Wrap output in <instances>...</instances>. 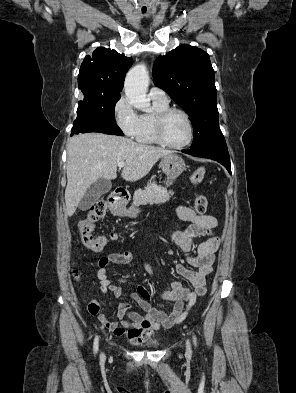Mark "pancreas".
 I'll use <instances>...</instances> for the list:
<instances>
[{"mask_svg": "<svg viewBox=\"0 0 296 393\" xmlns=\"http://www.w3.org/2000/svg\"><path fill=\"white\" fill-rule=\"evenodd\" d=\"M173 191H167L166 188L155 184H148L144 189H138L133 196V206L145 204H160L167 202Z\"/></svg>", "mask_w": 296, "mask_h": 393, "instance_id": "obj_1", "label": "pancreas"}]
</instances>
